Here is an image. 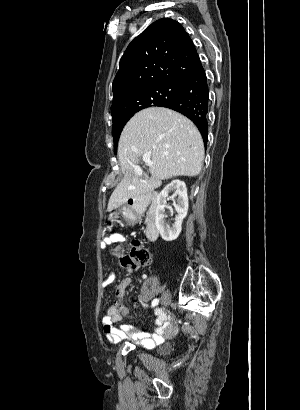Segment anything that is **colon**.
I'll return each instance as SVG.
<instances>
[{
  "label": "colon",
  "mask_w": 300,
  "mask_h": 410,
  "mask_svg": "<svg viewBox=\"0 0 300 410\" xmlns=\"http://www.w3.org/2000/svg\"><path fill=\"white\" fill-rule=\"evenodd\" d=\"M150 261V252L147 246L139 239L130 243L127 253L118 258V264L122 269L132 270L144 265Z\"/></svg>",
  "instance_id": "colon-1"
}]
</instances>
